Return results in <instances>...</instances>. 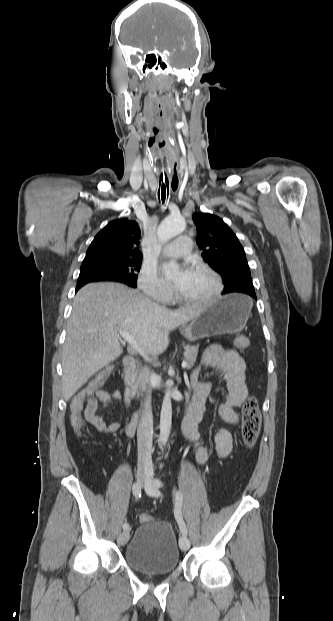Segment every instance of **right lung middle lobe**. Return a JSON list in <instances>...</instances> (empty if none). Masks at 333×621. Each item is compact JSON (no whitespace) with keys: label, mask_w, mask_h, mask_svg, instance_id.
I'll return each instance as SVG.
<instances>
[{"label":"right lung middle lobe","mask_w":333,"mask_h":621,"mask_svg":"<svg viewBox=\"0 0 333 621\" xmlns=\"http://www.w3.org/2000/svg\"><path fill=\"white\" fill-rule=\"evenodd\" d=\"M140 258H102L84 260L77 283L116 281L136 287Z\"/></svg>","instance_id":"obj_1"}]
</instances>
